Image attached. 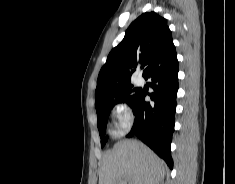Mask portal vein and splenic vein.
<instances>
[{"label":"portal vein and splenic vein","mask_w":235,"mask_h":184,"mask_svg":"<svg viewBox=\"0 0 235 184\" xmlns=\"http://www.w3.org/2000/svg\"><path fill=\"white\" fill-rule=\"evenodd\" d=\"M122 184H126V182H122Z\"/></svg>","instance_id":"1"}]
</instances>
